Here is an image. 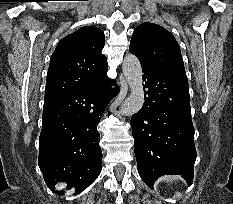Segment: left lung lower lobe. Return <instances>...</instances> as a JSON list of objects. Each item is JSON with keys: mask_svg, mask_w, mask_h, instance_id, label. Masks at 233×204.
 <instances>
[{"mask_svg": "<svg viewBox=\"0 0 233 204\" xmlns=\"http://www.w3.org/2000/svg\"><path fill=\"white\" fill-rule=\"evenodd\" d=\"M145 103L131 118L138 171L147 186L178 174L191 185L196 160L188 80L141 64Z\"/></svg>", "mask_w": 233, "mask_h": 204, "instance_id": "0a47b994", "label": "left lung lower lobe"}]
</instances>
